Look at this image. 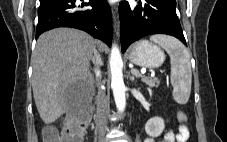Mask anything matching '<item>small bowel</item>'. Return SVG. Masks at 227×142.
I'll list each match as a JSON object with an SVG mask.
<instances>
[{
  "instance_id": "small-bowel-1",
  "label": "small bowel",
  "mask_w": 227,
  "mask_h": 142,
  "mask_svg": "<svg viewBox=\"0 0 227 142\" xmlns=\"http://www.w3.org/2000/svg\"><path fill=\"white\" fill-rule=\"evenodd\" d=\"M187 138L183 135L182 128L180 126L179 132L175 133L173 131H167L163 136V139L159 140L158 142H185ZM144 142H155L153 138H146Z\"/></svg>"
}]
</instances>
